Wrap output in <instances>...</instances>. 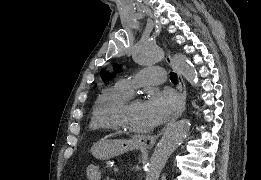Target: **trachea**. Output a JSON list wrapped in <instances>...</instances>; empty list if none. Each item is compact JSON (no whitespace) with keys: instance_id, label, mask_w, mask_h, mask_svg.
<instances>
[{"instance_id":"3493384b","label":"trachea","mask_w":261,"mask_h":180,"mask_svg":"<svg viewBox=\"0 0 261 180\" xmlns=\"http://www.w3.org/2000/svg\"><path fill=\"white\" fill-rule=\"evenodd\" d=\"M170 80L173 83H178V77H177V73L175 72H170Z\"/></svg>"}]
</instances>
